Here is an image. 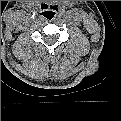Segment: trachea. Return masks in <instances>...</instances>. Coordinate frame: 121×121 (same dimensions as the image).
<instances>
[{
  "instance_id": "trachea-1",
  "label": "trachea",
  "mask_w": 121,
  "mask_h": 121,
  "mask_svg": "<svg viewBox=\"0 0 121 121\" xmlns=\"http://www.w3.org/2000/svg\"><path fill=\"white\" fill-rule=\"evenodd\" d=\"M56 13L54 10H47L44 12V17L48 20H52L55 17Z\"/></svg>"
}]
</instances>
